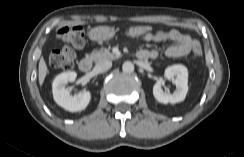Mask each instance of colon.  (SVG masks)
Masks as SVG:
<instances>
[{"label":"colon","mask_w":244,"mask_h":157,"mask_svg":"<svg viewBox=\"0 0 244 157\" xmlns=\"http://www.w3.org/2000/svg\"><path fill=\"white\" fill-rule=\"evenodd\" d=\"M150 33H153V28L148 25L131 26L125 31L129 37H143ZM58 36L65 45L51 52L50 64L54 68L70 70L74 64V48L84 45V32L79 26H65L58 31ZM192 52L195 56L201 54V45L198 41H192Z\"/></svg>","instance_id":"5ec220e1"}]
</instances>
